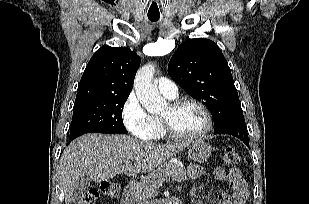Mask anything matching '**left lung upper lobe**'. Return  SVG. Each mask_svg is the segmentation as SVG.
I'll list each match as a JSON object with an SVG mask.
<instances>
[{
	"label": "left lung upper lobe",
	"mask_w": 309,
	"mask_h": 204,
	"mask_svg": "<svg viewBox=\"0 0 309 204\" xmlns=\"http://www.w3.org/2000/svg\"><path fill=\"white\" fill-rule=\"evenodd\" d=\"M168 73L209 109L215 130L244 118L231 70L213 41L196 38L182 42L169 62Z\"/></svg>",
	"instance_id": "left-lung-upper-lobe-1"
}]
</instances>
